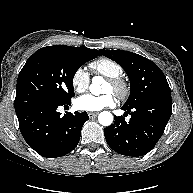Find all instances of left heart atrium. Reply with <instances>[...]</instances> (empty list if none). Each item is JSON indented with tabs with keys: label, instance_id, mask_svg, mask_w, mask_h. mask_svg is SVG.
<instances>
[{
	"label": "left heart atrium",
	"instance_id": "left-heart-atrium-1",
	"mask_svg": "<svg viewBox=\"0 0 193 193\" xmlns=\"http://www.w3.org/2000/svg\"><path fill=\"white\" fill-rule=\"evenodd\" d=\"M115 105V98L111 93L100 96L85 94L75 100V107L80 111L95 112Z\"/></svg>",
	"mask_w": 193,
	"mask_h": 193
}]
</instances>
